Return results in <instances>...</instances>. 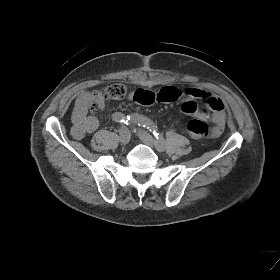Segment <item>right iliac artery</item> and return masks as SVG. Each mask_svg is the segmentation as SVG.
Returning a JSON list of instances; mask_svg holds the SVG:
<instances>
[{
  "mask_svg": "<svg viewBox=\"0 0 280 280\" xmlns=\"http://www.w3.org/2000/svg\"><path fill=\"white\" fill-rule=\"evenodd\" d=\"M113 120L116 121V122H119V123H124L126 125H129L131 124L130 123V119H129V116H125L124 114L122 113H119V112H116L113 114ZM136 130V129H135Z\"/></svg>",
  "mask_w": 280,
  "mask_h": 280,
  "instance_id": "right-iliac-artery-1",
  "label": "right iliac artery"
}]
</instances>
